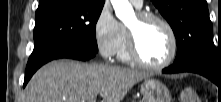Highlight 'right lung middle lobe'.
<instances>
[{"label":"right lung middle lobe","instance_id":"1","mask_svg":"<svg viewBox=\"0 0 221 102\" xmlns=\"http://www.w3.org/2000/svg\"><path fill=\"white\" fill-rule=\"evenodd\" d=\"M103 5L83 0H54L39 6L35 15L34 50L27 65L66 46L97 52L95 24Z\"/></svg>","mask_w":221,"mask_h":102}]
</instances>
